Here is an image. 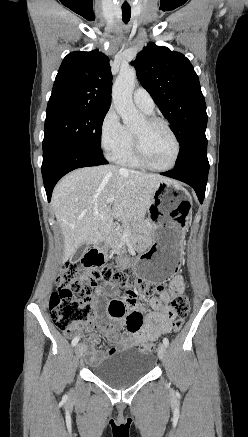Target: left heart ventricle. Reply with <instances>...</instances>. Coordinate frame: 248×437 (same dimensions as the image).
Segmentation results:
<instances>
[{
  "label": "left heart ventricle",
  "instance_id": "obj_1",
  "mask_svg": "<svg viewBox=\"0 0 248 437\" xmlns=\"http://www.w3.org/2000/svg\"><path fill=\"white\" fill-rule=\"evenodd\" d=\"M142 141L147 160L154 166L164 167L171 163L175 144L169 132L162 125L148 126L142 120L133 130Z\"/></svg>",
  "mask_w": 248,
  "mask_h": 437
}]
</instances>
